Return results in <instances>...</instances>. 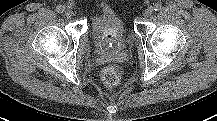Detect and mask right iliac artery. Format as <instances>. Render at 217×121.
<instances>
[{
	"label": "right iliac artery",
	"instance_id": "right-iliac-artery-1",
	"mask_svg": "<svg viewBox=\"0 0 217 121\" xmlns=\"http://www.w3.org/2000/svg\"><path fill=\"white\" fill-rule=\"evenodd\" d=\"M64 7L62 6V5H59V6H57L56 7V11L58 12V13H63L64 12Z\"/></svg>",
	"mask_w": 217,
	"mask_h": 121
}]
</instances>
